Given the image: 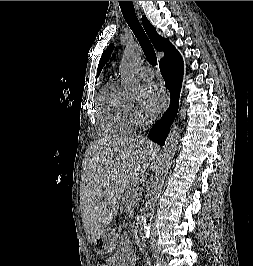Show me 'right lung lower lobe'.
<instances>
[{
	"label": "right lung lower lobe",
	"mask_w": 253,
	"mask_h": 266,
	"mask_svg": "<svg viewBox=\"0 0 253 266\" xmlns=\"http://www.w3.org/2000/svg\"><path fill=\"white\" fill-rule=\"evenodd\" d=\"M159 67L170 92V106L162 118L149 131L150 138L157 144L164 145L169 129L179 107V94L183 77V60L179 52L161 61Z\"/></svg>",
	"instance_id": "right-lung-lower-lobe-1"
}]
</instances>
